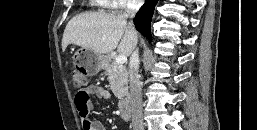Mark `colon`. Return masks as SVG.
Listing matches in <instances>:
<instances>
[{"instance_id":"5ec220e1","label":"colon","mask_w":257,"mask_h":130,"mask_svg":"<svg viewBox=\"0 0 257 130\" xmlns=\"http://www.w3.org/2000/svg\"><path fill=\"white\" fill-rule=\"evenodd\" d=\"M87 83L86 76L83 72L80 70H74L73 71V84L76 87H82L85 86Z\"/></svg>"}]
</instances>
